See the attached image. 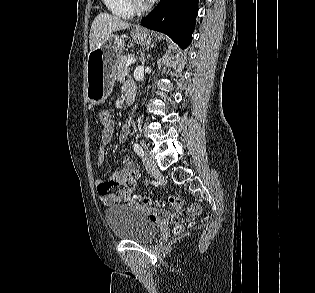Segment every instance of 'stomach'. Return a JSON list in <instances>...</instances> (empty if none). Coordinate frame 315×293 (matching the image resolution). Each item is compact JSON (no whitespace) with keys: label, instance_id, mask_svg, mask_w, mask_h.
Here are the masks:
<instances>
[{"label":"stomach","instance_id":"0dacf381","mask_svg":"<svg viewBox=\"0 0 315 293\" xmlns=\"http://www.w3.org/2000/svg\"><path fill=\"white\" fill-rule=\"evenodd\" d=\"M130 35L135 43L143 46L150 45L153 40L149 31L143 28L134 29ZM124 46L123 37L111 35L107 41L89 52L86 95L92 105H100L111 94L116 79V67Z\"/></svg>","mask_w":315,"mask_h":293}]
</instances>
